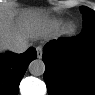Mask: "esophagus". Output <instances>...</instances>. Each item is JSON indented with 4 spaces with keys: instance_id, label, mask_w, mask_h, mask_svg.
I'll return each mask as SVG.
<instances>
[{
    "instance_id": "esophagus-1",
    "label": "esophagus",
    "mask_w": 95,
    "mask_h": 95,
    "mask_svg": "<svg viewBox=\"0 0 95 95\" xmlns=\"http://www.w3.org/2000/svg\"><path fill=\"white\" fill-rule=\"evenodd\" d=\"M36 51H37V57L39 59H41L42 58V55H43V49H42V47L41 46H37L36 47Z\"/></svg>"
}]
</instances>
